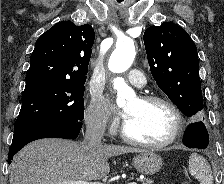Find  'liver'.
<instances>
[{"label": "liver", "instance_id": "obj_1", "mask_svg": "<svg viewBox=\"0 0 224 184\" xmlns=\"http://www.w3.org/2000/svg\"><path fill=\"white\" fill-rule=\"evenodd\" d=\"M140 149L100 145L87 150L82 143L48 138L25 146L9 167L10 184H58L64 181H95L110 172L107 159Z\"/></svg>", "mask_w": 224, "mask_h": 184}]
</instances>
